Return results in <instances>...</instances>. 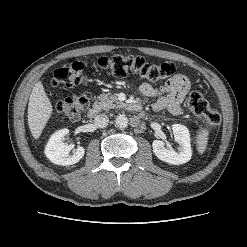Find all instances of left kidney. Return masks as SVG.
Listing matches in <instances>:
<instances>
[{
  "label": "left kidney",
  "mask_w": 247,
  "mask_h": 247,
  "mask_svg": "<svg viewBox=\"0 0 247 247\" xmlns=\"http://www.w3.org/2000/svg\"><path fill=\"white\" fill-rule=\"evenodd\" d=\"M175 141L180 145V151L166 148L161 140H154L152 148L154 154L163 162L172 165H181L188 162L192 156L190 133L186 126L174 124L172 126Z\"/></svg>",
  "instance_id": "obj_1"
}]
</instances>
